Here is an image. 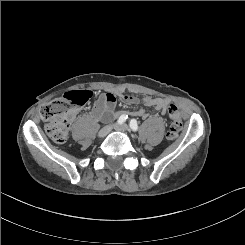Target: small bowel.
<instances>
[{
  "instance_id": "obj_1",
  "label": "small bowel",
  "mask_w": 245,
  "mask_h": 245,
  "mask_svg": "<svg viewBox=\"0 0 245 245\" xmlns=\"http://www.w3.org/2000/svg\"><path fill=\"white\" fill-rule=\"evenodd\" d=\"M123 100L127 104L138 103V98L131 95H125L123 97ZM115 102L116 99L114 95L110 93L100 95L92 107V117L95 119L106 118L113 111L115 107ZM143 104L146 107H151L158 111L164 112L169 104V100L161 97L147 96L143 99ZM134 114L142 118H147L148 116L143 109L135 111Z\"/></svg>"
}]
</instances>
